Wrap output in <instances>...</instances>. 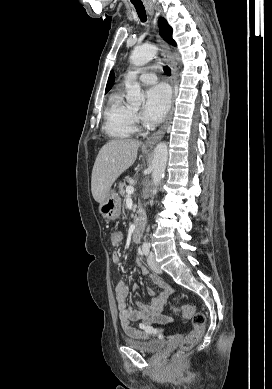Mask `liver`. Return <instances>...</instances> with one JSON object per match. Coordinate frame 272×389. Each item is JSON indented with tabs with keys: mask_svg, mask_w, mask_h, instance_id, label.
Instances as JSON below:
<instances>
[{
	"mask_svg": "<svg viewBox=\"0 0 272 389\" xmlns=\"http://www.w3.org/2000/svg\"><path fill=\"white\" fill-rule=\"evenodd\" d=\"M140 145V141L133 139H114L100 149L91 177L96 202L101 204L106 200L115 180L135 162Z\"/></svg>",
	"mask_w": 272,
	"mask_h": 389,
	"instance_id": "obj_1",
	"label": "liver"
}]
</instances>
